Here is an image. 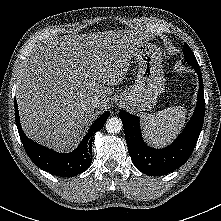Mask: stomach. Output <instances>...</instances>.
Instances as JSON below:
<instances>
[{"mask_svg":"<svg viewBox=\"0 0 221 221\" xmlns=\"http://www.w3.org/2000/svg\"><path fill=\"white\" fill-rule=\"evenodd\" d=\"M135 58L139 65L135 83L121 92L116 102L134 112L149 111L165 88L161 51L155 44L144 41L137 47Z\"/></svg>","mask_w":221,"mask_h":221,"instance_id":"obj_1","label":"stomach"}]
</instances>
